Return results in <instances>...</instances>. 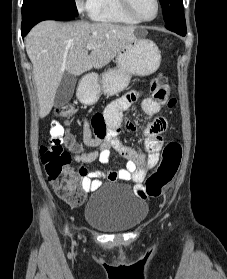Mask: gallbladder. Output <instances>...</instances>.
Returning <instances> with one entry per match:
<instances>
[{"mask_svg": "<svg viewBox=\"0 0 227 279\" xmlns=\"http://www.w3.org/2000/svg\"><path fill=\"white\" fill-rule=\"evenodd\" d=\"M76 81L77 79L74 75L67 72L63 74L55 95V107H62L70 101L74 93Z\"/></svg>", "mask_w": 227, "mask_h": 279, "instance_id": "1", "label": "gallbladder"}]
</instances>
